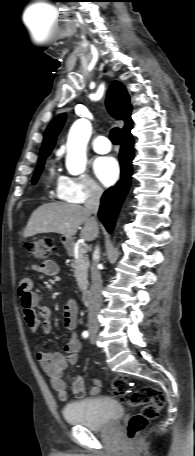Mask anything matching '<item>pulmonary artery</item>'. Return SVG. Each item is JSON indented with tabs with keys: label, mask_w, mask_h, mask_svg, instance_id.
I'll list each match as a JSON object with an SVG mask.
<instances>
[{
	"label": "pulmonary artery",
	"mask_w": 195,
	"mask_h": 456,
	"mask_svg": "<svg viewBox=\"0 0 195 456\" xmlns=\"http://www.w3.org/2000/svg\"><path fill=\"white\" fill-rule=\"evenodd\" d=\"M93 150L99 154H106L111 150V144L107 137L99 136L92 144Z\"/></svg>",
	"instance_id": "e3ab8cb5"
}]
</instances>
